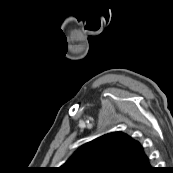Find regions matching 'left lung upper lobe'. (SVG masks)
Segmentation results:
<instances>
[{
	"instance_id": "obj_1",
	"label": "left lung upper lobe",
	"mask_w": 173,
	"mask_h": 173,
	"mask_svg": "<svg viewBox=\"0 0 173 173\" xmlns=\"http://www.w3.org/2000/svg\"><path fill=\"white\" fill-rule=\"evenodd\" d=\"M149 164L142 145L121 132L104 134L80 147L61 173H140Z\"/></svg>"
}]
</instances>
